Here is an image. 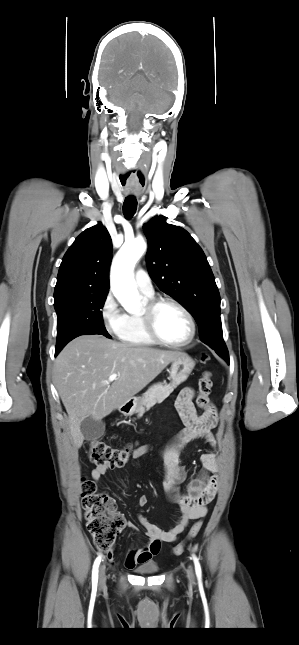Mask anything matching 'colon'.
Wrapping results in <instances>:
<instances>
[{"mask_svg":"<svg viewBox=\"0 0 299 645\" xmlns=\"http://www.w3.org/2000/svg\"><path fill=\"white\" fill-rule=\"evenodd\" d=\"M210 356L206 353L200 357V362L208 364ZM212 388L211 374L206 371L199 380L200 394L197 404L203 408L209 401ZM130 455V447L113 448L102 441L93 440L89 447L90 460L98 465H108L111 468L122 467ZM82 504L87 520L88 529L93 537L96 548L100 551L110 552L114 546L116 537L125 528L126 520L118 511L115 500L107 494L98 491L96 484L84 479L82 482ZM202 527V521L198 520L191 527L187 541L194 539ZM182 542L173 548L175 555L184 552L186 543Z\"/></svg>","mask_w":299,"mask_h":645,"instance_id":"colon-1","label":"colon"}]
</instances>
